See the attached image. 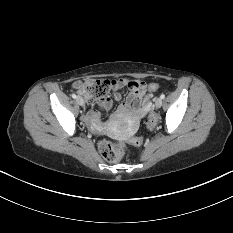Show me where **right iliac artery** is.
Listing matches in <instances>:
<instances>
[{"instance_id":"obj_1","label":"right iliac artery","mask_w":233,"mask_h":233,"mask_svg":"<svg viewBox=\"0 0 233 233\" xmlns=\"http://www.w3.org/2000/svg\"><path fill=\"white\" fill-rule=\"evenodd\" d=\"M72 98L76 99L77 98L76 94H72Z\"/></svg>"}]
</instances>
